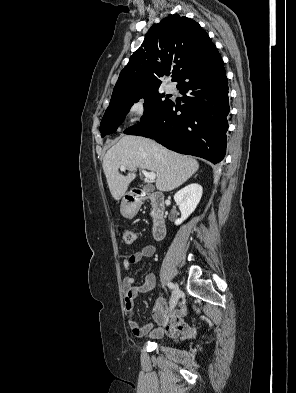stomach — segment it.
I'll list each match as a JSON object with an SVG mask.
<instances>
[{"label": "stomach", "mask_w": 296, "mask_h": 393, "mask_svg": "<svg viewBox=\"0 0 296 393\" xmlns=\"http://www.w3.org/2000/svg\"><path fill=\"white\" fill-rule=\"evenodd\" d=\"M120 211H121V214L127 218L133 216V214H134V211H133L132 207L130 206V204H128L125 201L122 202Z\"/></svg>", "instance_id": "stomach-1"}]
</instances>
